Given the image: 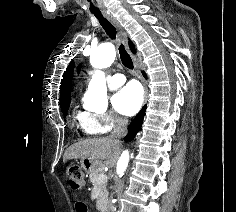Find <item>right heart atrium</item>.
<instances>
[{"label":"right heart atrium","instance_id":"right-heart-atrium-1","mask_svg":"<svg viewBox=\"0 0 236 212\" xmlns=\"http://www.w3.org/2000/svg\"><path fill=\"white\" fill-rule=\"evenodd\" d=\"M84 123L87 131L94 127L99 133H106L120 124L121 119L111 111L101 114L87 113L84 118Z\"/></svg>","mask_w":236,"mask_h":212}]
</instances>
